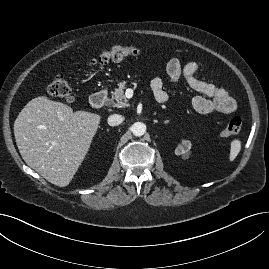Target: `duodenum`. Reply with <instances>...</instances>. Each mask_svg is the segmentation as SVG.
<instances>
[{
    "mask_svg": "<svg viewBox=\"0 0 269 269\" xmlns=\"http://www.w3.org/2000/svg\"><path fill=\"white\" fill-rule=\"evenodd\" d=\"M106 100H107V92L103 90L93 93L90 97L91 105L97 109L102 108L105 105Z\"/></svg>",
    "mask_w": 269,
    "mask_h": 269,
    "instance_id": "410a0bca",
    "label": "duodenum"
}]
</instances>
